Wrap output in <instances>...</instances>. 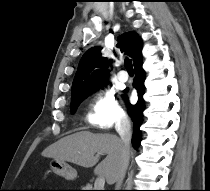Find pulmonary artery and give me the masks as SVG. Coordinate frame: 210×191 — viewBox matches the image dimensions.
Returning <instances> with one entry per match:
<instances>
[{"label": "pulmonary artery", "instance_id": "e3ab8cb5", "mask_svg": "<svg viewBox=\"0 0 210 191\" xmlns=\"http://www.w3.org/2000/svg\"><path fill=\"white\" fill-rule=\"evenodd\" d=\"M117 77L121 82H126L128 80V74L125 71H120Z\"/></svg>", "mask_w": 210, "mask_h": 191}]
</instances>
